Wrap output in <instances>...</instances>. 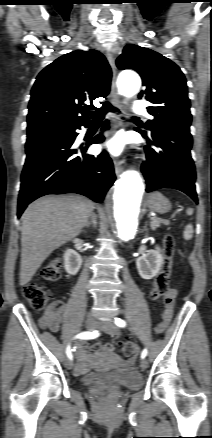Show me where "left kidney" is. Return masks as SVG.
I'll use <instances>...</instances> for the list:
<instances>
[{
  "mask_svg": "<svg viewBox=\"0 0 212 438\" xmlns=\"http://www.w3.org/2000/svg\"><path fill=\"white\" fill-rule=\"evenodd\" d=\"M163 264V257L160 248L148 250L141 257L137 258L136 266L139 275L146 280L152 279L157 275Z\"/></svg>",
  "mask_w": 212,
  "mask_h": 438,
  "instance_id": "left-kidney-1",
  "label": "left kidney"
}]
</instances>
